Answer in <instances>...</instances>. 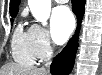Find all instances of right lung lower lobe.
Masks as SVG:
<instances>
[{
	"instance_id": "1",
	"label": "right lung lower lobe",
	"mask_w": 102,
	"mask_h": 75,
	"mask_svg": "<svg viewBox=\"0 0 102 75\" xmlns=\"http://www.w3.org/2000/svg\"><path fill=\"white\" fill-rule=\"evenodd\" d=\"M72 10L78 19V29L75 32L73 38L68 42L65 48L54 58V61L50 67L52 75H68L71 72L75 54L78 45V34L80 30L81 19L84 14L85 0H71Z\"/></svg>"
}]
</instances>
